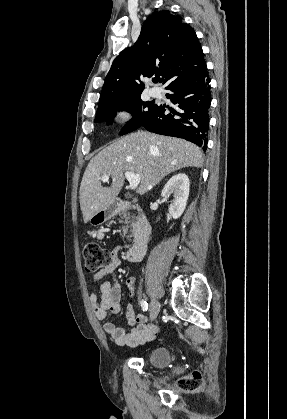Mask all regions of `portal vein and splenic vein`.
<instances>
[{
    "label": "portal vein and splenic vein",
    "mask_w": 287,
    "mask_h": 419,
    "mask_svg": "<svg viewBox=\"0 0 287 419\" xmlns=\"http://www.w3.org/2000/svg\"><path fill=\"white\" fill-rule=\"evenodd\" d=\"M125 178L128 180L129 187L132 190H134L139 185L140 180H141L140 174H134V173L129 172V171L125 172ZM101 180L103 182H108L109 181V175H103Z\"/></svg>",
    "instance_id": "portal-vein-and-splenic-vein-1"
}]
</instances>
